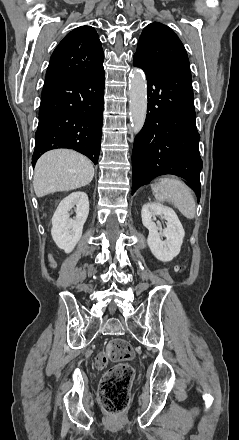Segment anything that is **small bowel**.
Listing matches in <instances>:
<instances>
[{
    "mask_svg": "<svg viewBox=\"0 0 239 440\" xmlns=\"http://www.w3.org/2000/svg\"><path fill=\"white\" fill-rule=\"evenodd\" d=\"M49 263L52 267H55V262L52 258H49Z\"/></svg>",
    "mask_w": 239,
    "mask_h": 440,
    "instance_id": "small-bowel-1",
    "label": "small bowel"
}]
</instances>
